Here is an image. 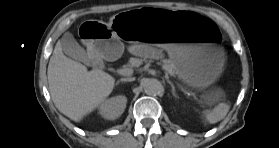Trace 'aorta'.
Instances as JSON below:
<instances>
[{
    "mask_svg": "<svg viewBox=\"0 0 279 148\" xmlns=\"http://www.w3.org/2000/svg\"><path fill=\"white\" fill-rule=\"evenodd\" d=\"M143 88L145 93L150 96H156L163 92L161 82L154 78L146 79L144 81Z\"/></svg>",
    "mask_w": 279,
    "mask_h": 148,
    "instance_id": "1",
    "label": "aorta"
}]
</instances>
